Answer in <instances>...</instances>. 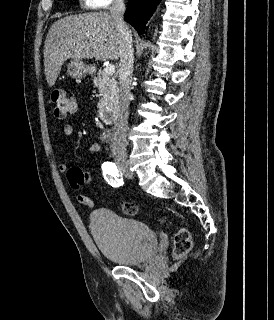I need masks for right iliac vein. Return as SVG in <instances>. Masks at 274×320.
<instances>
[{"mask_svg":"<svg viewBox=\"0 0 274 320\" xmlns=\"http://www.w3.org/2000/svg\"><path fill=\"white\" fill-rule=\"evenodd\" d=\"M117 165L126 177L128 178L133 177V172L130 169L129 161L126 158H123V157L118 158Z\"/></svg>","mask_w":274,"mask_h":320,"instance_id":"obj_1","label":"right iliac vein"}]
</instances>
